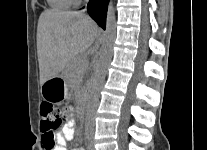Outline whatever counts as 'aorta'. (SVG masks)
<instances>
[{"mask_svg": "<svg viewBox=\"0 0 207 150\" xmlns=\"http://www.w3.org/2000/svg\"><path fill=\"white\" fill-rule=\"evenodd\" d=\"M116 36V16L111 0L108 5L107 18H106V29L103 35L102 47L100 50V57L95 68L94 77L91 83L90 94H89V108L93 110L99 101L101 89L104 84L107 65L113 54V45Z\"/></svg>", "mask_w": 207, "mask_h": 150, "instance_id": "aorta-1", "label": "aorta"}]
</instances>
